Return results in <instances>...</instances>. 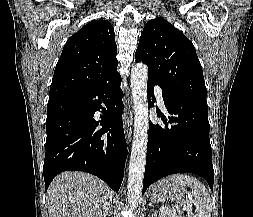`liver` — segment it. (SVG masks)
Returning <instances> with one entry per match:
<instances>
[{"instance_id":"obj_1","label":"liver","mask_w":253,"mask_h":217,"mask_svg":"<svg viewBox=\"0 0 253 217\" xmlns=\"http://www.w3.org/2000/svg\"><path fill=\"white\" fill-rule=\"evenodd\" d=\"M49 217H108L111 190L102 180L85 172H63L47 191Z\"/></svg>"}]
</instances>
